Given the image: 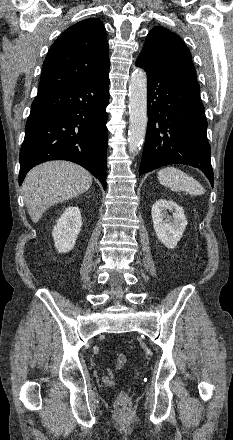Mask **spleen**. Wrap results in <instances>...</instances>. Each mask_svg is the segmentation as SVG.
<instances>
[{"label": "spleen", "mask_w": 233, "mask_h": 440, "mask_svg": "<svg viewBox=\"0 0 233 440\" xmlns=\"http://www.w3.org/2000/svg\"><path fill=\"white\" fill-rule=\"evenodd\" d=\"M158 180L172 191H186L192 196L205 193L204 187L196 179L173 166L162 168L158 172Z\"/></svg>", "instance_id": "1"}]
</instances>
